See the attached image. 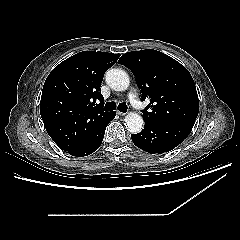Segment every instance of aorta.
Instances as JSON below:
<instances>
[{
  "mask_svg": "<svg viewBox=\"0 0 240 240\" xmlns=\"http://www.w3.org/2000/svg\"><path fill=\"white\" fill-rule=\"evenodd\" d=\"M105 79L107 84L115 91H124L129 87V76L121 69H109L106 72ZM125 126L132 134L141 132L144 124L142 116L138 113L130 112L126 115Z\"/></svg>",
  "mask_w": 240,
  "mask_h": 240,
  "instance_id": "aorta-1",
  "label": "aorta"
}]
</instances>
